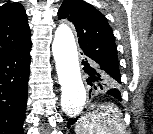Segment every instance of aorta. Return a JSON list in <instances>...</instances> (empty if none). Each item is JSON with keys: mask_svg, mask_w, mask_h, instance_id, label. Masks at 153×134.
Returning a JSON list of instances; mask_svg holds the SVG:
<instances>
[{"mask_svg": "<svg viewBox=\"0 0 153 134\" xmlns=\"http://www.w3.org/2000/svg\"><path fill=\"white\" fill-rule=\"evenodd\" d=\"M52 52L61 85V106L67 116L81 113L86 104V89L81 77L77 46L72 30L61 24L55 31Z\"/></svg>", "mask_w": 153, "mask_h": 134, "instance_id": "obj_1", "label": "aorta"}]
</instances>
